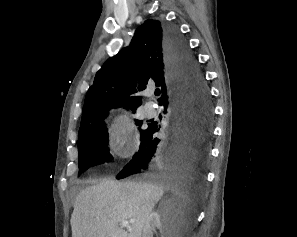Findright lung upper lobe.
<instances>
[{
	"label": "right lung upper lobe",
	"mask_w": 297,
	"mask_h": 237,
	"mask_svg": "<svg viewBox=\"0 0 297 237\" xmlns=\"http://www.w3.org/2000/svg\"><path fill=\"white\" fill-rule=\"evenodd\" d=\"M152 80L161 87V102L172 86L164 47V23L149 19L137 28L130 47L110 57L97 72L86 94L79 133L103 121L110 108L132 107L134 111L141 104L139 96L129 97L136 92V81L145 89Z\"/></svg>",
	"instance_id": "right-lung-upper-lobe-1"
}]
</instances>
